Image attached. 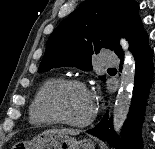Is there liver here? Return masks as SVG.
<instances>
[{
    "label": "liver",
    "mask_w": 155,
    "mask_h": 149,
    "mask_svg": "<svg viewBox=\"0 0 155 149\" xmlns=\"http://www.w3.org/2000/svg\"><path fill=\"white\" fill-rule=\"evenodd\" d=\"M45 133H60V134H67V135H78L80 133V130H75V129H51L45 131Z\"/></svg>",
    "instance_id": "obj_1"
}]
</instances>
